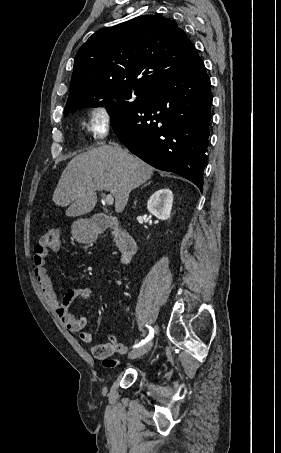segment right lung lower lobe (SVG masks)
Masks as SVG:
<instances>
[{"mask_svg":"<svg viewBox=\"0 0 281 453\" xmlns=\"http://www.w3.org/2000/svg\"><path fill=\"white\" fill-rule=\"evenodd\" d=\"M211 104L210 79L198 57L134 102L107 103L106 109L115 134L133 154L202 191Z\"/></svg>","mask_w":281,"mask_h":453,"instance_id":"1","label":"right lung lower lobe"}]
</instances>
